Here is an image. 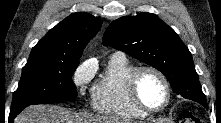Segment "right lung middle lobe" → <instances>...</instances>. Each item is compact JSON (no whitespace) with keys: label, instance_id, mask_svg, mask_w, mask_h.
<instances>
[{"label":"right lung middle lobe","instance_id":"right-lung-middle-lobe-1","mask_svg":"<svg viewBox=\"0 0 221 123\" xmlns=\"http://www.w3.org/2000/svg\"><path fill=\"white\" fill-rule=\"evenodd\" d=\"M78 64V59L29 57L14 92L10 113L18 114L32 104L75 99L72 75Z\"/></svg>","mask_w":221,"mask_h":123}]
</instances>
